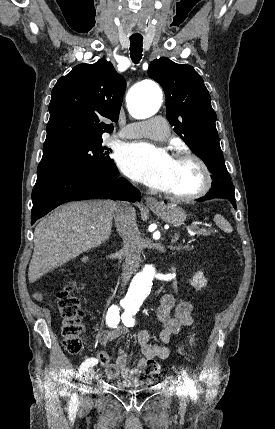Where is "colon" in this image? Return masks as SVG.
I'll list each match as a JSON object with an SVG mask.
<instances>
[{
    "label": "colon",
    "mask_w": 275,
    "mask_h": 429,
    "mask_svg": "<svg viewBox=\"0 0 275 429\" xmlns=\"http://www.w3.org/2000/svg\"><path fill=\"white\" fill-rule=\"evenodd\" d=\"M76 284L71 282L57 293V305L62 319L61 334L66 351L72 355L78 354L82 350V333L84 326L81 322L82 311L78 298L75 294ZM99 360L102 365L108 364V355L100 352ZM160 367L150 360L147 365V372L156 376Z\"/></svg>",
    "instance_id": "obj_1"
}]
</instances>
